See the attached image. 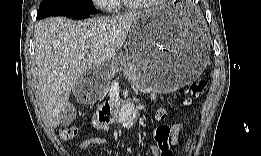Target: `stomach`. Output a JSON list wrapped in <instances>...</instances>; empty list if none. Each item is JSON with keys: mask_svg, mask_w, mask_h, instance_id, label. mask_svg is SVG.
I'll return each mask as SVG.
<instances>
[{"mask_svg": "<svg viewBox=\"0 0 261 156\" xmlns=\"http://www.w3.org/2000/svg\"><path fill=\"white\" fill-rule=\"evenodd\" d=\"M187 3L169 2L143 13L133 23L128 40L130 58L138 67L136 84L160 92L179 89L202 73L208 62V45L195 29ZM125 62L122 54L88 69L82 79L90 95L108 87L110 70Z\"/></svg>", "mask_w": 261, "mask_h": 156, "instance_id": "0dacf381", "label": "stomach"}]
</instances>
